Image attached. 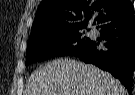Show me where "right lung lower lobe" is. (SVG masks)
<instances>
[{"label":"right lung lower lobe","instance_id":"98d812e1","mask_svg":"<svg viewBox=\"0 0 135 95\" xmlns=\"http://www.w3.org/2000/svg\"><path fill=\"white\" fill-rule=\"evenodd\" d=\"M100 38L104 43L91 40L87 46L71 56L81 58L110 72L127 88L132 90V73L135 70V17L105 22L100 25Z\"/></svg>","mask_w":135,"mask_h":95}]
</instances>
